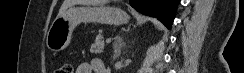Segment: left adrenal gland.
I'll list each match as a JSON object with an SVG mask.
<instances>
[{
	"instance_id": "left-adrenal-gland-1",
	"label": "left adrenal gland",
	"mask_w": 244,
	"mask_h": 73,
	"mask_svg": "<svg viewBox=\"0 0 244 73\" xmlns=\"http://www.w3.org/2000/svg\"><path fill=\"white\" fill-rule=\"evenodd\" d=\"M125 42L122 38L118 37L114 42V59L118 58L121 54L122 47L125 46Z\"/></svg>"
}]
</instances>
